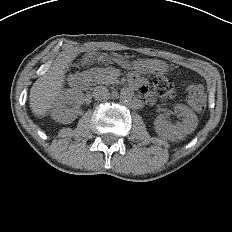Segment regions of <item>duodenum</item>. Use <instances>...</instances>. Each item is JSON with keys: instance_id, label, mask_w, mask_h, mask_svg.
<instances>
[{"instance_id": "duodenum-1", "label": "duodenum", "mask_w": 232, "mask_h": 232, "mask_svg": "<svg viewBox=\"0 0 232 232\" xmlns=\"http://www.w3.org/2000/svg\"><path fill=\"white\" fill-rule=\"evenodd\" d=\"M88 83V77L87 76H79L73 80V86L76 89L83 88Z\"/></svg>"}]
</instances>
